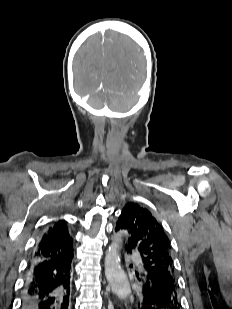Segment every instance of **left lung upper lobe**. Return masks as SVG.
Listing matches in <instances>:
<instances>
[{
    "label": "left lung upper lobe",
    "instance_id": "left-lung-upper-lobe-1",
    "mask_svg": "<svg viewBox=\"0 0 232 309\" xmlns=\"http://www.w3.org/2000/svg\"><path fill=\"white\" fill-rule=\"evenodd\" d=\"M116 231L128 234L126 245L141 255V271L157 277L175 302H180L171 256V244L163 227L146 208L128 203L116 223Z\"/></svg>",
    "mask_w": 232,
    "mask_h": 309
}]
</instances>
